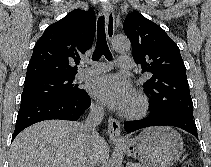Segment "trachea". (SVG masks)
Returning <instances> with one entry per match:
<instances>
[{
    "instance_id": "3493384b",
    "label": "trachea",
    "mask_w": 211,
    "mask_h": 167,
    "mask_svg": "<svg viewBox=\"0 0 211 167\" xmlns=\"http://www.w3.org/2000/svg\"><path fill=\"white\" fill-rule=\"evenodd\" d=\"M104 55L106 59L112 60V54L108 48L104 28V16H100L97 24V44L92 55V60L98 61Z\"/></svg>"
}]
</instances>
